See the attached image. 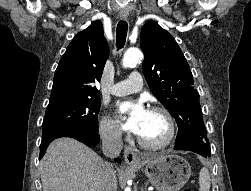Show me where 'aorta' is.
Instances as JSON below:
<instances>
[{"label": "aorta", "mask_w": 251, "mask_h": 191, "mask_svg": "<svg viewBox=\"0 0 251 191\" xmlns=\"http://www.w3.org/2000/svg\"><path fill=\"white\" fill-rule=\"evenodd\" d=\"M142 58L143 54L140 50H138V48H129V50H127L124 54L122 66H124V68H132L134 64H139Z\"/></svg>", "instance_id": "aorta-1"}]
</instances>
